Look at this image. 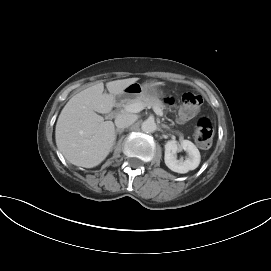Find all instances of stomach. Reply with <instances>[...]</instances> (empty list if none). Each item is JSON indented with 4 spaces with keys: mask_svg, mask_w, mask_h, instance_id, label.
I'll return each instance as SVG.
<instances>
[{
    "mask_svg": "<svg viewBox=\"0 0 271 271\" xmlns=\"http://www.w3.org/2000/svg\"><path fill=\"white\" fill-rule=\"evenodd\" d=\"M160 82L157 80H146L144 83H133L126 87L122 94L119 95L121 99H134L141 95L158 98L161 94L159 89Z\"/></svg>",
    "mask_w": 271,
    "mask_h": 271,
    "instance_id": "1",
    "label": "stomach"
}]
</instances>
